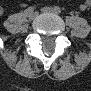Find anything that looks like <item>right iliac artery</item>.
Masks as SVG:
<instances>
[{"label":"right iliac artery","instance_id":"right-iliac-artery-1","mask_svg":"<svg viewBox=\"0 0 91 91\" xmlns=\"http://www.w3.org/2000/svg\"><path fill=\"white\" fill-rule=\"evenodd\" d=\"M34 8H35V6H30V7H28V8L25 10V14L27 15V14H29L30 12H33Z\"/></svg>","mask_w":91,"mask_h":91}]
</instances>
